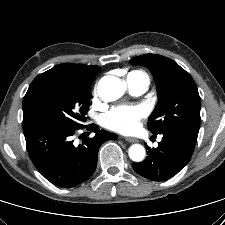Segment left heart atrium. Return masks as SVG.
Wrapping results in <instances>:
<instances>
[{"mask_svg": "<svg viewBox=\"0 0 225 225\" xmlns=\"http://www.w3.org/2000/svg\"><path fill=\"white\" fill-rule=\"evenodd\" d=\"M147 115L143 106L123 105L113 108L104 117V125L113 131L131 133Z\"/></svg>", "mask_w": 225, "mask_h": 225, "instance_id": "39dd6f15", "label": "left heart atrium"}]
</instances>
